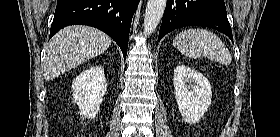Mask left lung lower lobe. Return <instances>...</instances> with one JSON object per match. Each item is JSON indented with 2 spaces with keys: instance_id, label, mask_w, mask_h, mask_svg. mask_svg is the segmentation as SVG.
I'll return each instance as SVG.
<instances>
[{
  "instance_id": "left-lung-lower-lobe-1",
  "label": "left lung lower lobe",
  "mask_w": 280,
  "mask_h": 137,
  "mask_svg": "<svg viewBox=\"0 0 280 137\" xmlns=\"http://www.w3.org/2000/svg\"><path fill=\"white\" fill-rule=\"evenodd\" d=\"M183 26L210 27L233 41L224 0H167L158 40Z\"/></svg>"
}]
</instances>
